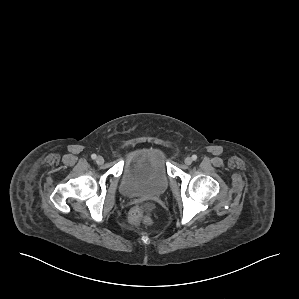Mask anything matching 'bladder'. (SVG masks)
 <instances>
[{
  "label": "bladder",
  "mask_w": 299,
  "mask_h": 299,
  "mask_svg": "<svg viewBox=\"0 0 299 299\" xmlns=\"http://www.w3.org/2000/svg\"><path fill=\"white\" fill-rule=\"evenodd\" d=\"M169 185L164 154L156 146L134 150L123 169L120 192L126 197H157Z\"/></svg>",
  "instance_id": "obj_1"
}]
</instances>
